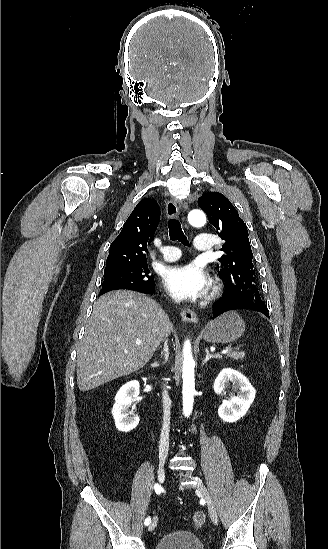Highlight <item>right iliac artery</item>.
<instances>
[{"label": "right iliac artery", "instance_id": "82829eb1", "mask_svg": "<svg viewBox=\"0 0 328 549\" xmlns=\"http://www.w3.org/2000/svg\"><path fill=\"white\" fill-rule=\"evenodd\" d=\"M154 489H155V492H156L157 494H160V493L162 492V487H161V485H159L158 483L154 485ZM150 522H151V518H150V517H147V518L145 519V523H144V524H145L146 526H148V525L150 524Z\"/></svg>", "mask_w": 328, "mask_h": 549}]
</instances>
